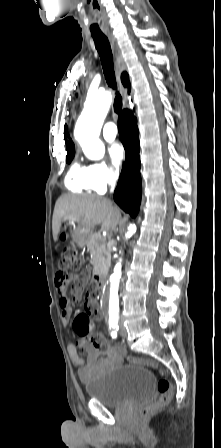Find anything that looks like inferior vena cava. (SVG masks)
<instances>
[{"label":"inferior vena cava","mask_w":221,"mask_h":448,"mask_svg":"<svg viewBox=\"0 0 221 448\" xmlns=\"http://www.w3.org/2000/svg\"><path fill=\"white\" fill-rule=\"evenodd\" d=\"M117 177H118V175L116 173H111L109 180H110V183L112 184V186L115 185Z\"/></svg>","instance_id":"obj_1"}]
</instances>
